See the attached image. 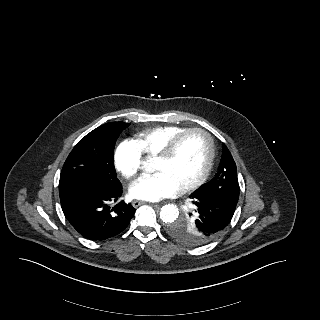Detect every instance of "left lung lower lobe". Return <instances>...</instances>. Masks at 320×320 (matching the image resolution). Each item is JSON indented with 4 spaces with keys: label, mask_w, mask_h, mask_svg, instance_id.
I'll return each instance as SVG.
<instances>
[{
    "label": "left lung lower lobe",
    "mask_w": 320,
    "mask_h": 320,
    "mask_svg": "<svg viewBox=\"0 0 320 320\" xmlns=\"http://www.w3.org/2000/svg\"><path fill=\"white\" fill-rule=\"evenodd\" d=\"M198 210L203 236L209 241L222 234L231 221L236 209L235 203L196 190L190 195Z\"/></svg>",
    "instance_id": "1"
}]
</instances>
